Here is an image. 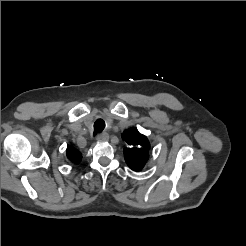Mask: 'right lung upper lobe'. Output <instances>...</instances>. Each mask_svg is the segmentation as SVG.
I'll use <instances>...</instances> for the list:
<instances>
[{"instance_id":"right-lung-upper-lobe-1","label":"right lung upper lobe","mask_w":246,"mask_h":246,"mask_svg":"<svg viewBox=\"0 0 246 246\" xmlns=\"http://www.w3.org/2000/svg\"><path fill=\"white\" fill-rule=\"evenodd\" d=\"M67 157L70 161H72L73 163H79L81 161V153L73 148V147H68L67 148Z\"/></svg>"}]
</instances>
